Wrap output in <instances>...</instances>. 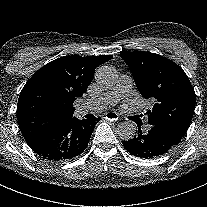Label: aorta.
<instances>
[{"mask_svg": "<svg viewBox=\"0 0 207 207\" xmlns=\"http://www.w3.org/2000/svg\"><path fill=\"white\" fill-rule=\"evenodd\" d=\"M95 80L100 87L110 89L117 83L118 73L114 67L103 65L97 69ZM116 133L120 139L128 141L134 138L136 127L132 122H122L118 124Z\"/></svg>", "mask_w": 207, "mask_h": 207, "instance_id": "762f6f07", "label": "aorta"}]
</instances>
